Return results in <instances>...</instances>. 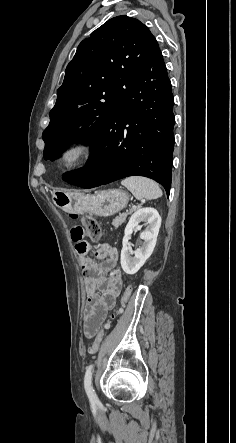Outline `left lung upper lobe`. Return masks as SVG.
<instances>
[{
	"label": "left lung upper lobe",
	"instance_id": "1",
	"mask_svg": "<svg viewBox=\"0 0 236 443\" xmlns=\"http://www.w3.org/2000/svg\"><path fill=\"white\" fill-rule=\"evenodd\" d=\"M157 45L149 29L128 16L108 20L79 44L42 134L46 160L94 139Z\"/></svg>",
	"mask_w": 236,
	"mask_h": 443
}]
</instances>
